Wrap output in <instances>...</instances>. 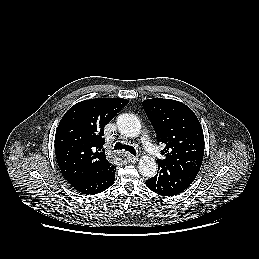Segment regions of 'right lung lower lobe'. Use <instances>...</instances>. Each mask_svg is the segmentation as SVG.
<instances>
[{
    "mask_svg": "<svg viewBox=\"0 0 259 259\" xmlns=\"http://www.w3.org/2000/svg\"><path fill=\"white\" fill-rule=\"evenodd\" d=\"M115 166H109L87 178L77 181L71 186L82 194H97L109 188L115 179Z\"/></svg>",
    "mask_w": 259,
    "mask_h": 259,
    "instance_id": "98d812e1",
    "label": "right lung lower lobe"
}]
</instances>
